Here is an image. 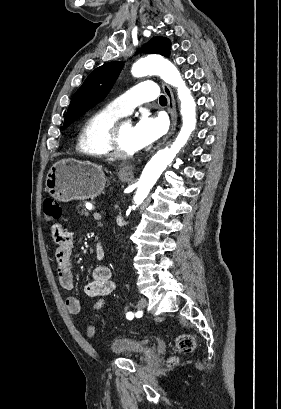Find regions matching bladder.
<instances>
[{"mask_svg":"<svg viewBox=\"0 0 281 409\" xmlns=\"http://www.w3.org/2000/svg\"><path fill=\"white\" fill-rule=\"evenodd\" d=\"M106 350L109 355L127 359H134L135 355H153L148 341L125 334L111 337Z\"/></svg>","mask_w":281,"mask_h":409,"instance_id":"obj_1","label":"bladder"}]
</instances>
